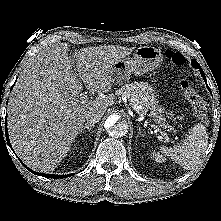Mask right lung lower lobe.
<instances>
[{
    "mask_svg": "<svg viewBox=\"0 0 221 221\" xmlns=\"http://www.w3.org/2000/svg\"><path fill=\"white\" fill-rule=\"evenodd\" d=\"M7 120H5V134H6V139H7V143L8 145L11 147L10 145V142H9V138H8V131H7ZM0 127H1V124H0ZM1 130H2V127H1ZM24 165V164H23ZM25 166V165H24ZM26 167V166H25ZM29 171H31L32 173L36 174V175H40V176H43V177H47V178H54V179H61V178H66V177H69L73 174H69V175H54V174H44V173H38V172H35V171H32L31 169H29L28 167H26Z\"/></svg>",
    "mask_w": 221,
    "mask_h": 221,
    "instance_id": "98d812e1",
    "label": "right lung lower lobe"
}]
</instances>
